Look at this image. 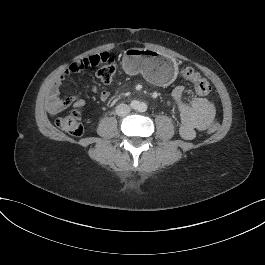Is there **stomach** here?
<instances>
[{"instance_id":"0dacf381","label":"stomach","mask_w":265,"mask_h":265,"mask_svg":"<svg viewBox=\"0 0 265 265\" xmlns=\"http://www.w3.org/2000/svg\"><path fill=\"white\" fill-rule=\"evenodd\" d=\"M123 69L129 75L141 73L149 81L165 86L177 76L174 58L147 48H129L124 52Z\"/></svg>"}]
</instances>
